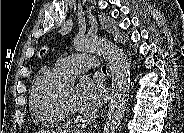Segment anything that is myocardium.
I'll use <instances>...</instances> for the list:
<instances>
[{
	"mask_svg": "<svg viewBox=\"0 0 184 133\" xmlns=\"http://www.w3.org/2000/svg\"><path fill=\"white\" fill-rule=\"evenodd\" d=\"M58 103H59V107L64 115V117L70 118V119H76L77 118V114L74 113L66 104L63 96H62V92L61 89H59L58 92Z\"/></svg>",
	"mask_w": 184,
	"mask_h": 133,
	"instance_id": "1",
	"label": "myocardium"
}]
</instances>
